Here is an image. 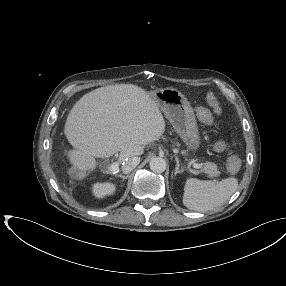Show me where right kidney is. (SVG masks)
<instances>
[{"mask_svg": "<svg viewBox=\"0 0 286 286\" xmlns=\"http://www.w3.org/2000/svg\"><path fill=\"white\" fill-rule=\"evenodd\" d=\"M116 187L113 183H96L93 186V193L98 198H103L106 195L112 194Z\"/></svg>", "mask_w": 286, "mask_h": 286, "instance_id": "obj_1", "label": "right kidney"}]
</instances>
